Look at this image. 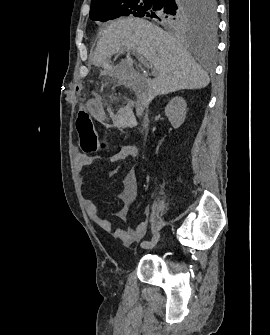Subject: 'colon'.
I'll return each mask as SVG.
<instances>
[{"label": "colon", "mask_w": 270, "mask_h": 335, "mask_svg": "<svg viewBox=\"0 0 270 335\" xmlns=\"http://www.w3.org/2000/svg\"><path fill=\"white\" fill-rule=\"evenodd\" d=\"M76 123H78V133L83 134V151L89 155L103 151L105 143L98 139L94 130L93 116H89L88 110L76 111Z\"/></svg>", "instance_id": "obj_1"}]
</instances>
